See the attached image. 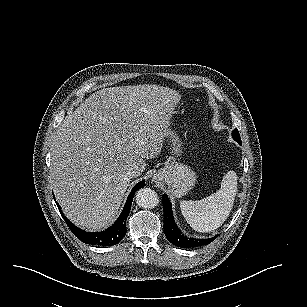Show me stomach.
I'll list each match as a JSON object with an SVG mask.
<instances>
[{"instance_id": "0dacf381", "label": "stomach", "mask_w": 307, "mask_h": 307, "mask_svg": "<svg viewBox=\"0 0 307 307\" xmlns=\"http://www.w3.org/2000/svg\"><path fill=\"white\" fill-rule=\"evenodd\" d=\"M165 138L169 157L165 166L154 174L153 181L165 185L175 197H182L194 189L198 174L190 165L184 163L186 147L179 133L167 128Z\"/></svg>"}]
</instances>
